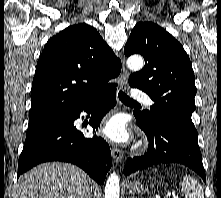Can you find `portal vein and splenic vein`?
<instances>
[{
  "label": "portal vein and splenic vein",
  "instance_id": "obj_1",
  "mask_svg": "<svg viewBox=\"0 0 221 198\" xmlns=\"http://www.w3.org/2000/svg\"><path fill=\"white\" fill-rule=\"evenodd\" d=\"M168 197H171V194H168ZM174 198H178V196L173 195Z\"/></svg>",
  "mask_w": 221,
  "mask_h": 198
}]
</instances>
